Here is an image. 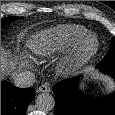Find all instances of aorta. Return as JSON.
Instances as JSON below:
<instances>
[{
  "mask_svg": "<svg viewBox=\"0 0 115 115\" xmlns=\"http://www.w3.org/2000/svg\"><path fill=\"white\" fill-rule=\"evenodd\" d=\"M36 105L40 110L50 111L55 106L54 97L49 93H41L37 96Z\"/></svg>",
  "mask_w": 115,
  "mask_h": 115,
  "instance_id": "762f6f07",
  "label": "aorta"
}]
</instances>
